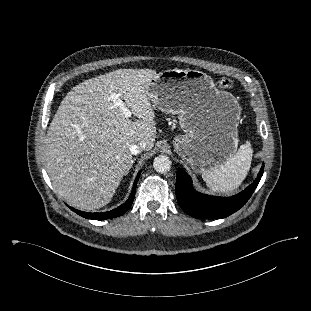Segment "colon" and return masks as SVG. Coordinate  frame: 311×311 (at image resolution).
Wrapping results in <instances>:
<instances>
[{
  "mask_svg": "<svg viewBox=\"0 0 311 311\" xmlns=\"http://www.w3.org/2000/svg\"><path fill=\"white\" fill-rule=\"evenodd\" d=\"M218 85L219 87L224 88V89L230 88L232 86V81L229 79L223 78L218 82Z\"/></svg>",
  "mask_w": 311,
  "mask_h": 311,
  "instance_id": "5ec220e1",
  "label": "colon"
}]
</instances>
